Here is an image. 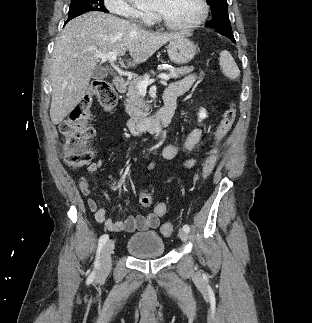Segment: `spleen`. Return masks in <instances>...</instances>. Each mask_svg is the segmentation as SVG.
Segmentation results:
<instances>
[{"instance_id": "1", "label": "spleen", "mask_w": 312, "mask_h": 323, "mask_svg": "<svg viewBox=\"0 0 312 323\" xmlns=\"http://www.w3.org/2000/svg\"><path fill=\"white\" fill-rule=\"evenodd\" d=\"M219 56V66L223 74H225L229 80L239 78L240 70L237 64H235V60H233L230 52H226V50H224V52H220Z\"/></svg>"}]
</instances>
